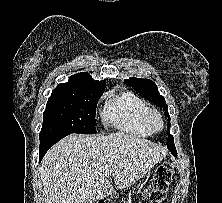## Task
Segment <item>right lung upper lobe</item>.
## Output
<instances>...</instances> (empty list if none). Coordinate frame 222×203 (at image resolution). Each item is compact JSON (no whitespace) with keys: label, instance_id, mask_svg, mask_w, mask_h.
Returning a JSON list of instances; mask_svg holds the SVG:
<instances>
[{"label":"right lung upper lobe","instance_id":"cb5924a9","mask_svg":"<svg viewBox=\"0 0 222 203\" xmlns=\"http://www.w3.org/2000/svg\"><path fill=\"white\" fill-rule=\"evenodd\" d=\"M106 87L104 80L95 81L88 72L75 74L67 83L59 84L54 90H93L103 91Z\"/></svg>","mask_w":222,"mask_h":203}]
</instances>
